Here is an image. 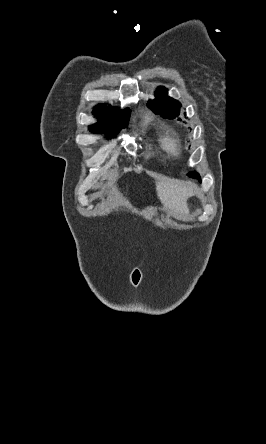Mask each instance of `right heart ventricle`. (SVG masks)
<instances>
[{"label": "right heart ventricle", "instance_id": "obj_1", "mask_svg": "<svg viewBox=\"0 0 266 444\" xmlns=\"http://www.w3.org/2000/svg\"><path fill=\"white\" fill-rule=\"evenodd\" d=\"M150 124H151V121L149 118H147L145 120V126H149ZM155 140L162 149H165L164 134L163 133H161L160 131H155Z\"/></svg>", "mask_w": 266, "mask_h": 444}]
</instances>
